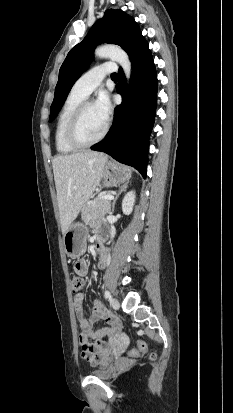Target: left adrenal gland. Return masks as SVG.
<instances>
[{
	"instance_id": "1",
	"label": "left adrenal gland",
	"mask_w": 233,
	"mask_h": 413,
	"mask_svg": "<svg viewBox=\"0 0 233 413\" xmlns=\"http://www.w3.org/2000/svg\"><path fill=\"white\" fill-rule=\"evenodd\" d=\"M128 183H129V182H125L124 184H122L121 186H119L118 193L116 194V196H115V198H114V200H113V202H112V210H111V213L114 212L115 203H116L117 199L119 198L120 194L127 189Z\"/></svg>"
}]
</instances>
